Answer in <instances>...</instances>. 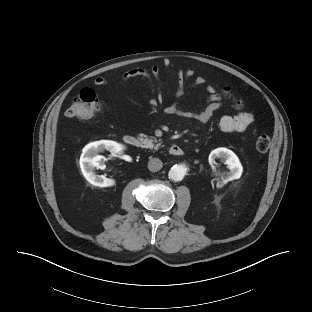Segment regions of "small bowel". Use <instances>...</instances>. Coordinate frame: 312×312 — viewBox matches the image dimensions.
I'll return each instance as SVG.
<instances>
[{"label":"small bowel","mask_w":312,"mask_h":312,"mask_svg":"<svg viewBox=\"0 0 312 312\" xmlns=\"http://www.w3.org/2000/svg\"><path fill=\"white\" fill-rule=\"evenodd\" d=\"M177 86L175 92V101L170 103L164 108V112L169 115H176L192 120L199 121L201 123L208 122L214 114L220 109L222 102L221 97L217 94L213 86H206L208 97L206 99L205 106L199 110H185L180 107L179 100L183 97L186 89L187 82L192 78V71L182 72L178 71L175 73ZM136 77H144L149 79L152 83L158 86L160 85V70L158 66H152L151 70L148 71L145 68H135L122 75L121 81L127 82L130 79ZM108 83V80L104 77H97L94 81L96 86H102ZM205 84L203 77L195 78L193 86H202ZM161 94L158 93L157 97L152 100L154 107L159 106ZM253 122V115L248 112L239 113L237 115H224L219 121L220 128L228 133L242 132L246 130Z\"/></svg>","instance_id":"obj_1"}]
</instances>
